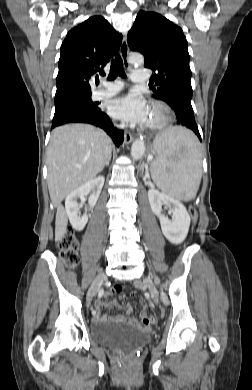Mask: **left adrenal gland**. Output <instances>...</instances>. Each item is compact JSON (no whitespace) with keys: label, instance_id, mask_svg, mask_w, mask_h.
I'll return each instance as SVG.
<instances>
[{"label":"left adrenal gland","instance_id":"left-adrenal-gland-1","mask_svg":"<svg viewBox=\"0 0 252 390\" xmlns=\"http://www.w3.org/2000/svg\"><path fill=\"white\" fill-rule=\"evenodd\" d=\"M143 173H144V168L142 169V177H143V180L146 182V176H143Z\"/></svg>","mask_w":252,"mask_h":390}]
</instances>
